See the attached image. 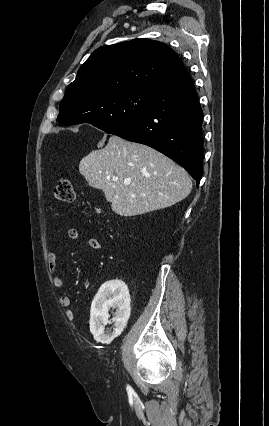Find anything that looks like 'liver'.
<instances>
[{
  "instance_id": "liver-1",
  "label": "liver",
  "mask_w": 269,
  "mask_h": 426,
  "mask_svg": "<svg viewBox=\"0 0 269 426\" xmlns=\"http://www.w3.org/2000/svg\"><path fill=\"white\" fill-rule=\"evenodd\" d=\"M79 171L91 187L104 192L112 210L121 216L170 207L192 190V181L181 166L147 145L116 135L105 148L82 158Z\"/></svg>"
}]
</instances>
